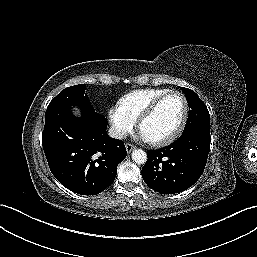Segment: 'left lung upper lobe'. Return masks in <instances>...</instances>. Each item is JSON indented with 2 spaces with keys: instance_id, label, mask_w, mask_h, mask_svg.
<instances>
[{
  "instance_id": "obj_1",
  "label": "left lung upper lobe",
  "mask_w": 257,
  "mask_h": 257,
  "mask_svg": "<svg viewBox=\"0 0 257 257\" xmlns=\"http://www.w3.org/2000/svg\"><path fill=\"white\" fill-rule=\"evenodd\" d=\"M181 90L186 95L190 109L187 123L182 134L196 130L210 132V115L206 105L193 90L184 87H181Z\"/></svg>"
}]
</instances>
